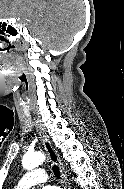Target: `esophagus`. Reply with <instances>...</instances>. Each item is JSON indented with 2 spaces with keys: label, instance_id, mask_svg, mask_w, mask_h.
<instances>
[{
  "label": "esophagus",
  "instance_id": "esophagus-1",
  "mask_svg": "<svg viewBox=\"0 0 124 189\" xmlns=\"http://www.w3.org/2000/svg\"><path fill=\"white\" fill-rule=\"evenodd\" d=\"M36 127L37 130L42 138L43 141V145L45 147V150L47 151V154L50 158V160L56 164L61 172V177H62V184H63V189H69L68 185H67V175L65 172V169L61 163V160L57 154L56 149L54 148V146L52 145L50 139L48 138V136L46 135L45 129L44 127L37 121L36 122Z\"/></svg>",
  "mask_w": 124,
  "mask_h": 189
}]
</instances>
